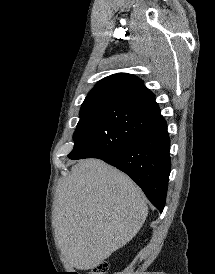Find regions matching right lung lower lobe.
Masks as SVG:
<instances>
[{"label": "right lung lower lobe", "instance_id": "98d812e1", "mask_svg": "<svg viewBox=\"0 0 215 274\" xmlns=\"http://www.w3.org/2000/svg\"><path fill=\"white\" fill-rule=\"evenodd\" d=\"M169 150L167 124L160 115L128 144L100 159L128 174L162 212L171 170Z\"/></svg>", "mask_w": 215, "mask_h": 274}]
</instances>
